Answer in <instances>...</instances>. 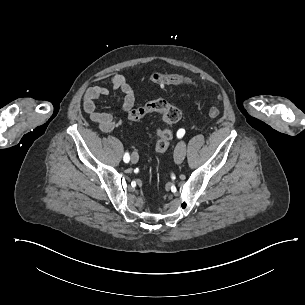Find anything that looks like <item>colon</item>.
I'll list each match as a JSON object with an SVG mask.
<instances>
[{"mask_svg":"<svg viewBox=\"0 0 305 305\" xmlns=\"http://www.w3.org/2000/svg\"><path fill=\"white\" fill-rule=\"evenodd\" d=\"M149 83H153L156 87H175L177 84L180 87H185L186 89H191L193 87V81L186 77H181L180 74H172L168 72L163 74L161 72H152L148 78ZM150 113L161 114V119L163 124L172 125L179 121L181 117L180 110L168 103L163 99H156L147 102L146 104L132 109L128 113V120L130 122H137L141 120L145 115ZM220 114L219 109L216 106H211L209 109V115L212 118L218 117ZM157 140L154 146V151L157 154L164 153L170 147L173 140V133L171 130L159 127L156 130Z\"/></svg>","mask_w":305,"mask_h":305,"instance_id":"5ec220e1","label":"colon"}]
</instances>
